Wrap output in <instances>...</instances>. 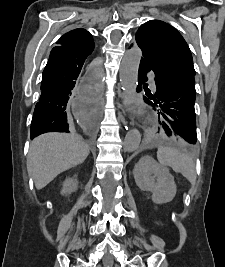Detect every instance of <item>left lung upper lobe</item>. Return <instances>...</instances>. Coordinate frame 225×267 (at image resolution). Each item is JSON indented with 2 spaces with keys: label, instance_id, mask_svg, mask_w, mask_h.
Returning <instances> with one entry per match:
<instances>
[{
  "label": "left lung upper lobe",
  "instance_id": "5c2ea615",
  "mask_svg": "<svg viewBox=\"0 0 225 267\" xmlns=\"http://www.w3.org/2000/svg\"><path fill=\"white\" fill-rule=\"evenodd\" d=\"M136 44L142 49L143 57L157 69L183 68L195 74L190 49L171 25L160 20L144 23L136 33ZM170 138L183 147L193 148L176 135Z\"/></svg>",
  "mask_w": 225,
  "mask_h": 267
}]
</instances>
